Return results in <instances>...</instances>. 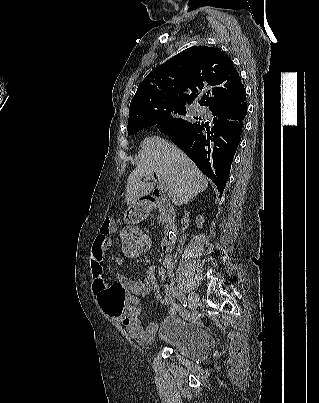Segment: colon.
<instances>
[{
    "label": "colon",
    "instance_id": "1",
    "mask_svg": "<svg viewBox=\"0 0 319 403\" xmlns=\"http://www.w3.org/2000/svg\"><path fill=\"white\" fill-rule=\"evenodd\" d=\"M121 242L124 260H141L142 254H153L155 248L152 234H145L144 226H125Z\"/></svg>",
    "mask_w": 319,
    "mask_h": 403
}]
</instances>
